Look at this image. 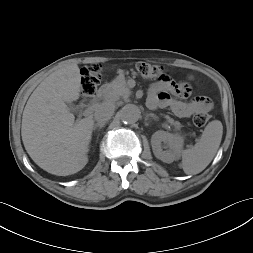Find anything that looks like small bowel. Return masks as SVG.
<instances>
[{
    "label": "small bowel",
    "instance_id": "1",
    "mask_svg": "<svg viewBox=\"0 0 253 253\" xmlns=\"http://www.w3.org/2000/svg\"><path fill=\"white\" fill-rule=\"evenodd\" d=\"M123 72H117V78L122 76ZM190 94V88L185 83H177L169 77H164L153 82L149 88L147 104L149 108H170L172 112L181 118H188L192 115L209 111L212 103L205 96H196L189 101H181L176 98H186Z\"/></svg>",
    "mask_w": 253,
    "mask_h": 253
}]
</instances>
